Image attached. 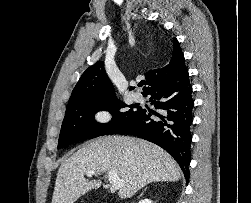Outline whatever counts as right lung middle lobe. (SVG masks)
Returning <instances> with one entry per match:
<instances>
[{
	"mask_svg": "<svg viewBox=\"0 0 251 203\" xmlns=\"http://www.w3.org/2000/svg\"><path fill=\"white\" fill-rule=\"evenodd\" d=\"M127 106L116 97L67 105L58 148H65L80 140L115 134L140 110L139 107L136 110H126ZM100 110H107L112 114L109 123L101 124L95 121L94 114Z\"/></svg>",
	"mask_w": 251,
	"mask_h": 203,
	"instance_id": "dd1d6c3e",
	"label": "right lung middle lobe"
}]
</instances>
